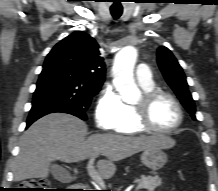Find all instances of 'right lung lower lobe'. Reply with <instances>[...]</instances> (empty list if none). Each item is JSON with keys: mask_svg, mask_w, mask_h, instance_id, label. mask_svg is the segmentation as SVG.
Instances as JSON below:
<instances>
[{"mask_svg": "<svg viewBox=\"0 0 218 191\" xmlns=\"http://www.w3.org/2000/svg\"><path fill=\"white\" fill-rule=\"evenodd\" d=\"M54 112L68 113V114L77 116L81 118L82 120H86L85 112L77 108L62 104L58 101L45 100V101L37 102L32 105L30 114L27 119L26 127H29L34 121L41 118L42 116L49 114V113H54Z\"/></svg>", "mask_w": 218, "mask_h": 191, "instance_id": "obj_1", "label": "right lung lower lobe"}]
</instances>
